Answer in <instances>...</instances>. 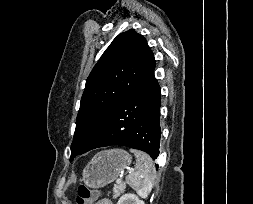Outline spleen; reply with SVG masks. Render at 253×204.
Returning <instances> with one entry per match:
<instances>
[{
  "instance_id": "1",
  "label": "spleen",
  "mask_w": 253,
  "mask_h": 204,
  "mask_svg": "<svg viewBox=\"0 0 253 204\" xmlns=\"http://www.w3.org/2000/svg\"><path fill=\"white\" fill-rule=\"evenodd\" d=\"M136 157L135 169L126 177L127 184L140 196L147 197L153 187L156 170L151 157L142 151L130 150Z\"/></svg>"
}]
</instances>
